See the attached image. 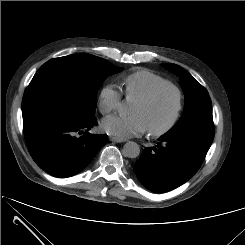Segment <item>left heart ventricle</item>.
Segmentation results:
<instances>
[{"label": "left heart ventricle", "instance_id": "b2bd125f", "mask_svg": "<svg viewBox=\"0 0 245 245\" xmlns=\"http://www.w3.org/2000/svg\"><path fill=\"white\" fill-rule=\"evenodd\" d=\"M174 107L175 96L171 92H165L149 103L143 104L132 101L129 104V112L139 114L148 128L157 129L169 121Z\"/></svg>", "mask_w": 245, "mask_h": 245}]
</instances>
